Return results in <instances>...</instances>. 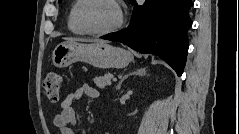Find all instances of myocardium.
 Listing matches in <instances>:
<instances>
[{"mask_svg": "<svg viewBox=\"0 0 239 134\" xmlns=\"http://www.w3.org/2000/svg\"><path fill=\"white\" fill-rule=\"evenodd\" d=\"M94 1L97 0H83L82 3L80 4L79 8H78V12H77V22L79 24V26L82 28V30L89 35H93V36H104V35H108L111 33L116 32L117 30H119L121 28V26L123 25L124 22V16H123V12L122 9L119 5V3L115 0H107L109 2H111L117 9L118 11V19L116 21V23L104 30H95L89 27V25L86 22L85 19V11L87 9V7Z\"/></svg>", "mask_w": 239, "mask_h": 134, "instance_id": "obj_1", "label": "myocardium"}]
</instances>
